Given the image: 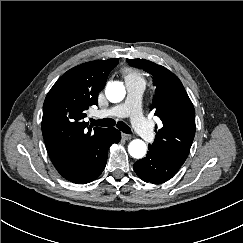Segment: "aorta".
Listing matches in <instances>:
<instances>
[{
  "label": "aorta",
  "instance_id": "1",
  "mask_svg": "<svg viewBox=\"0 0 243 243\" xmlns=\"http://www.w3.org/2000/svg\"><path fill=\"white\" fill-rule=\"evenodd\" d=\"M105 94L110 102L118 103L124 99L126 91L123 83L115 81L108 83ZM146 150L147 146L145 142L140 139L132 140L128 146L129 154L136 159L143 158L146 154Z\"/></svg>",
  "mask_w": 243,
  "mask_h": 243
}]
</instances>
